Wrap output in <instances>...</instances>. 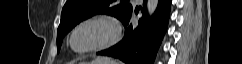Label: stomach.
I'll use <instances>...</instances> for the list:
<instances>
[{"label": "stomach", "mask_w": 242, "mask_h": 64, "mask_svg": "<svg viewBox=\"0 0 242 64\" xmlns=\"http://www.w3.org/2000/svg\"><path fill=\"white\" fill-rule=\"evenodd\" d=\"M102 59H106V58H98V59L92 61V62L89 63V64H111V63H108V62L102 61Z\"/></svg>", "instance_id": "stomach-1"}]
</instances>
